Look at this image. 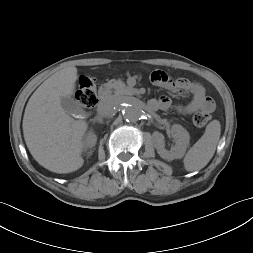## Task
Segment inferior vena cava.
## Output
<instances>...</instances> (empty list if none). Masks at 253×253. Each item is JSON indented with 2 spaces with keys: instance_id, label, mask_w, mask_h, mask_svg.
Segmentation results:
<instances>
[{
  "instance_id": "602c4592",
  "label": "inferior vena cava",
  "mask_w": 253,
  "mask_h": 253,
  "mask_svg": "<svg viewBox=\"0 0 253 253\" xmlns=\"http://www.w3.org/2000/svg\"><path fill=\"white\" fill-rule=\"evenodd\" d=\"M117 108V101L113 98H106L98 104L97 112L99 117L112 115Z\"/></svg>"
}]
</instances>
